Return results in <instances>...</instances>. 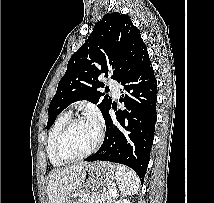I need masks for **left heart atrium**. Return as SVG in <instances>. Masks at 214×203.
<instances>
[{
    "label": "left heart atrium",
    "instance_id": "left-heart-atrium-1",
    "mask_svg": "<svg viewBox=\"0 0 214 203\" xmlns=\"http://www.w3.org/2000/svg\"><path fill=\"white\" fill-rule=\"evenodd\" d=\"M90 119H91V121H93L94 123H98L99 122V119H100V117H99V115L97 114V113H93L91 116H90Z\"/></svg>",
    "mask_w": 214,
    "mask_h": 203
}]
</instances>
